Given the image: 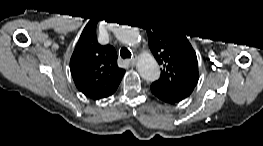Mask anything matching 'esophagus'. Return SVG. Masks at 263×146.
Returning a JSON list of instances; mask_svg holds the SVG:
<instances>
[{"label": "esophagus", "instance_id": "obj_1", "mask_svg": "<svg viewBox=\"0 0 263 146\" xmlns=\"http://www.w3.org/2000/svg\"><path fill=\"white\" fill-rule=\"evenodd\" d=\"M136 62H137V58H136V57H133V58H131V59L129 60V63H130V65H132V66H134V65L136 64Z\"/></svg>", "mask_w": 263, "mask_h": 146}]
</instances>
